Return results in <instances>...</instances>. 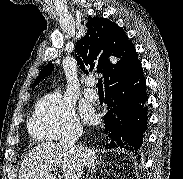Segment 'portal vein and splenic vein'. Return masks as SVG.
<instances>
[{
	"label": "portal vein and splenic vein",
	"instance_id": "1",
	"mask_svg": "<svg viewBox=\"0 0 183 179\" xmlns=\"http://www.w3.org/2000/svg\"><path fill=\"white\" fill-rule=\"evenodd\" d=\"M57 169L55 168V169H53L52 171H56Z\"/></svg>",
	"mask_w": 183,
	"mask_h": 179
}]
</instances>
